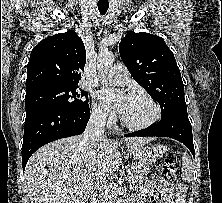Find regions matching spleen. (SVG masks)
<instances>
[{
  "mask_svg": "<svg viewBox=\"0 0 222 203\" xmlns=\"http://www.w3.org/2000/svg\"><path fill=\"white\" fill-rule=\"evenodd\" d=\"M194 167L188 153L184 152L182 157V179L191 182L193 180Z\"/></svg>",
  "mask_w": 222,
  "mask_h": 203,
  "instance_id": "1",
  "label": "spleen"
}]
</instances>
